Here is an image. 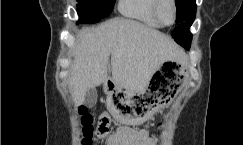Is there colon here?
<instances>
[{
    "label": "colon",
    "instance_id": "1",
    "mask_svg": "<svg viewBox=\"0 0 243 145\" xmlns=\"http://www.w3.org/2000/svg\"><path fill=\"white\" fill-rule=\"evenodd\" d=\"M80 123L82 127V145H91L92 138L97 136L100 139L107 138L110 133V119L108 116H100L96 128L93 127V117L85 107L79 108Z\"/></svg>",
    "mask_w": 243,
    "mask_h": 145
}]
</instances>
